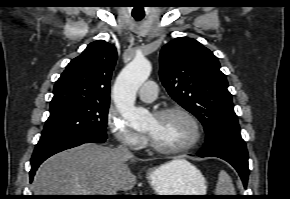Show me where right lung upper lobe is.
Returning a JSON list of instances; mask_svg holds the SVG:
<instances>
[{"instance_id":"cb5924a9","label":"right lung upper lobe","mask_w":290,"mask_h":199,"mask_svg":"<svg viewBox=\"0 0 290 199\" xmlns=\"http://www.w3.org/2000/svg\"><path fill=\"white\" fill-rule=\"evenodd\" d=\"M116 58L114 45L104 40L90 43L56 81L50 109L76 103H109Z\"/></svg>"}]
</instances>
